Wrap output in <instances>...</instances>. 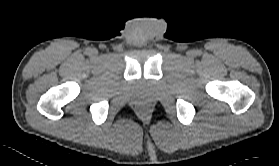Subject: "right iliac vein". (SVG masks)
I'll return each instance as SVG.
<instances>
[{
    "instance_id": "63e3f726",
    "label": "right iliac vein",
    "mask_w": 279,
    "mask_h": 166,
    "mask_svg": "<svg viewBox=\"0 0 279 166\" xmlns=\"http://www.w3.org/2000/svg\"><path fill=\"white\" fill-rule=\"evenodd\" d=\"M91 52H92V54H94V55L97 54V50H92Z\"/></svg>"
}]
</instances>
